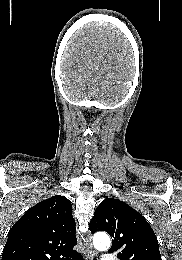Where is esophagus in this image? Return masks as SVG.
<instances>
[{
  "label": "esophagus",
  "mask_w": 182,
  "mask_h": 260,
  "mask_svg": "<svg viewBox=\"0 0 182 260\" xmlns=\"http://www.w3.org/2000/svg\"><path fill=\"white\" fill-rule=\"evenodd\" d=\"M92 236L88 232L85 238V245H86V251H85V258L86 260H91L92 257H95L97 255L96 251L94 250L91 242Z\"/></svg>",
  "instance_id": "obj_1"
}]
</instances>
